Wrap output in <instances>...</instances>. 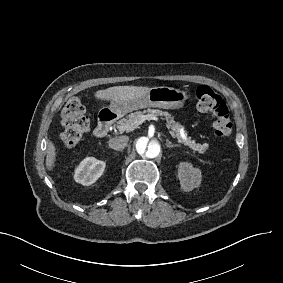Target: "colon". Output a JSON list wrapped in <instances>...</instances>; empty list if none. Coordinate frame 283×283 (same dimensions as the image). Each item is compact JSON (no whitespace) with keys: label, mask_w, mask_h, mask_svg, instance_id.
Masks as SVG:
<instances>
[{"label":"colon","mask_w":283,"mask_h":283,"mask_svg":"<svg viewBox=\"0 0 283 283\" xmlns=\"http://www.w3.org/2000/svg\"><path fill=\"white\" fill-rule=\"evenodd\" d=\"M197 106L212 114L214 133L217 137H228L232 132L229 108L223 98L211 87L201 85L196 90ZM61 140L66 147H75L89 130V120L80 99H70L61 112Z\"/></svg>","instance_id":"obj_1"}]
</instances>
